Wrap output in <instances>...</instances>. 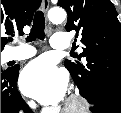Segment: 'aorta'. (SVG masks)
I'll list each match as a JSON object with an SVG mask.
<instances>
[{"label": "aorta", "mask_w": 121, "mask_h": 113, "mask_svg": "<svg viewBox=\"0 0 121 113\" xmlns=\"http://www.w3.org/2000/svg\"><path fill=\"white\" fill-rule=\"evenodd\" d=\"M48 18L53 23H61L66 18V12L61 8H52L48 12Z\"/></svg>", "instance_id": "obj_1"}]
</instances>
